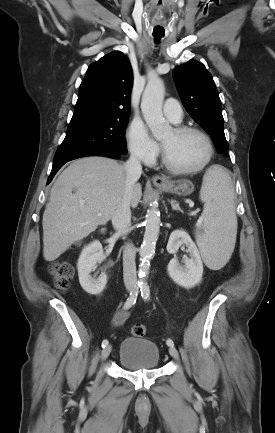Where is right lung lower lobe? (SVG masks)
Instances as JSON below:
<instances>
[{"label":"right lung lower lobe","mask_w":275,"mask_h":433,"mask_svg":"<svg viewBox=\"0 0 275 433\" xmlns=\"http://www.w3.org/2000/svg\"><path fill=\"white\" fill-rule=\"evenodd\" d=\"M121 153L113 151V150H106V149H99V150H93L88 152H82V153H73V154H67V155H61L54 157L53 166L51 174L48 178L47 184L51 182L54 175L57 173V171L68 161H71L73 159L85 157V156H105L110 157L113 159H119L121 157Z\"/></svg>","instance_id":"right-lung-lower-lobe-1"}]
</instances>
